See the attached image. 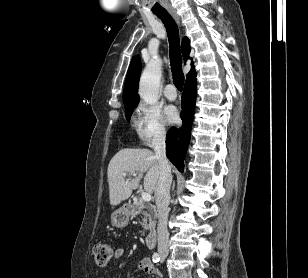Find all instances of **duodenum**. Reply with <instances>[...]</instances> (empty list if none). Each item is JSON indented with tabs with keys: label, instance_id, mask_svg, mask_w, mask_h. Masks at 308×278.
<instances>
[{
	"label": "duodenum",
	"instance_id": "1",
	"mask_svg": "<svg viewBox=\"0 0 308 278\" xmlns=\"http://www.w3.org/2000/svg\"><path fill=\"white\" fill-rule=\"evenodd\" d=\"M127 211H131L133 209L132 205H128L126 207ZM146 243L147 246L152 248L156 245L157 243V233L155 231H151L148 233V235L146 236Z\"/></svg>",
	"mask_w": 308,
	"mask_h": 278
}]
</instances>
